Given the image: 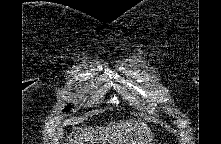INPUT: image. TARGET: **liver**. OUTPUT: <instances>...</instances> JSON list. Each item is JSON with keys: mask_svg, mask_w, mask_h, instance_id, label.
I'll use <instances>...</instances> for the list:
<instances>
[{"mask_svg": "<svg viewBox=\"0 0 221 144\" xmlns=\"http://www.w3.org/2000/svg\"><path fill=\"white\" fill-rule=\"evenodd\" d=\"M72 133V144H148L153 138L145 122L133 119L110 122L95 129L76 128Z\"/></svg>", "mask_w": 221, "mask_h": 144, "instance_id": "liver-1", "label": "liver"}]
</instances>
